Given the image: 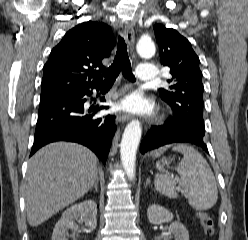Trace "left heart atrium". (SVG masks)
Here are the masks:
<instances>
[{"label": "left heart atrium", "mask_w": 248, "mask_h": 240, "mask_svg": "<svg viewBox=\"0 0 248 240\" xmlns=\"http://www.w3.org/2000/svg\"><path fill=\"white\" fill-rule=\"evenodd\" d=\"M121 107L133 113H145L150 109L149 103L138 92H133L125 97L121 102Z\"/></svg>", "instance_id": "1"}]
</instances>
